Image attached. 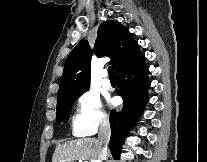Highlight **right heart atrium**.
I'll use <instances>...</instances> for the list:
<instances>
[{"instance_id":"1","label":"right heart atrium","mask_w":207,"mask_h":162,"mask_svg":"<svg viewBox=\"0 0 207 162\" xmlns=\"http://www.w3.org/2000/svg\"><path fill=\"white\" fill-rule=\"evenodd\" d=\"M76 108L75 131L81 136H89L108 123L101 101L92 91H85L78 97Z\"/></svg>"}]
</instances>
